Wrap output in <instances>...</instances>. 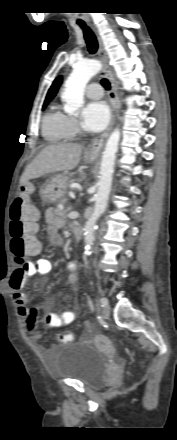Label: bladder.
Instances as JSON below:
<instances>
[{"mask_svg":"<svg viewBox=\"0 0 177 440\" xmlns=\"http://www.w3.org/2000/svg\"><path fill=\"white\" fill-rule=\"evenodd\" d=\"M108 357L105 352L79 343L62 346L52 372L57 378L79 381L87 387H98L105 379Z\"/></svg>","mask_w":177,"mask_h":440,"instance_id":"obj_1","label":"bladder"}]
</instances>
